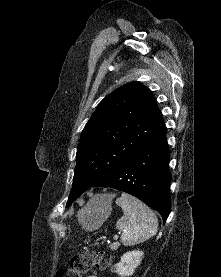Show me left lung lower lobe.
Masks as SVG:
<instances>
[{"label": "left lung lower lobe", "mask_w": 221, "mask_h": 277, "mask_svg": "<svg viewBox=\"0 0 221 277\" xmlns=\"http://www.w3.org/2000/svg\"><path fill=\"white\" fill-rule=\"evenodd\" d=\"M165 134L164 125L154 137L91 187H111L129 193L157 210L165 222L171 209L170 153Z\"/></svg>", "instance_id": "left-lung-lower-lobe-1"}]
</instances>
